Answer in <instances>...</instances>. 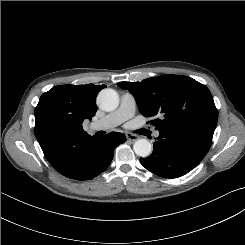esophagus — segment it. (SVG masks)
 Masks as SVG:
<instances>
[{
    "label": "esophagus",
    "instance_id": "34e87169",
    "mask_svg": "<svg viewBox=\"0 0 245 245\" xmlns=\"http://www.w3.org/2000/svg\"><path fill=\"white\" fill-rule=\"evenodd\" d=\"M126 138H127L128 141L134 142V141H136L138 139V136L134 135V134L127 133L126 134Z\"/></svg>",
    "mask_w": 245,
    "mask_h": 245
}]
</instances>
